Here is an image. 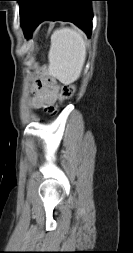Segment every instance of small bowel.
Segmentation results:
<instances>
[{
	"instance_id": "small-bowel-1",
	"label": "small bowel",
	"mask_w": 133,
	"mask_h": 253,
	"mask_svg": "<svg viewBox=\"0 0 133 253\" xmlns=\"http://www.w3.org/2000/svg\"><path fill=\"white\" fill-rule=\"evenodd\" d=\"M47 66L36 69V74H43L47 71ZM32 97L30 106L34 109L48 108L52 109L59 97H61V86L52 78H40L32 86Z\"/></svg>"
}]
</instances>
